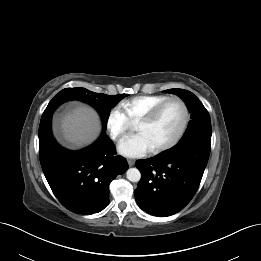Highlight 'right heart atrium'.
Here are the masks:
<instances>
[{"label":"right heart atrium","instance_id":"d8ad5b80","mask_svg":"<svg viewBox=\"0 0 261 261\" xmlns=\"http://www.w3.org/2000/svg\"><path fill=\"white\" fill-rule=\"evenodd\" d=\"M106 127L112 139H120L131 128V123L119 107L112 108L106 118Z\"/></svg>","mask_w":261,"mask_h":261}]
</instances>
